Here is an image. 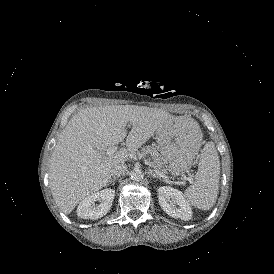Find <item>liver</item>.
Returning <instances> with one entry per match:
<instances>
[{"label": "liver", "mask_w": 274, "mask_h": 274, "mask_svg": "<svg viewBox=\"0 0 274 274\" xmlns=\"http://www.w3.org/2000/svg\"><path fill=\"white\" fill-rule=\"evenodd\" d=\"M194 121L172 116L159 108L136 105L90 106L81 109L59 136L51 156L49 185L52 196L65 213L90 193L106 186L116 165L124 164L155 132ZM132 126L127 135L126 126ZM126 138V147L107 154L109 147Z\"/></svg>", "instance_id": "liver-1"}]
</instances>
